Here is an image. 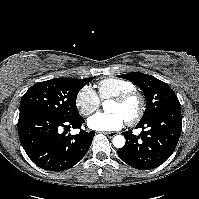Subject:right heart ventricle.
<instances>
[{
    "label": "right heart ventricle",
    "mask_w": 199,
    "mask_h": 199,
    "mask_svg": "<svg viewBox=\"0 0 199 199\" xmlns=\"http://www.w3.org/2000/svg\"><path fill=\"white\" fill-rule=\"evenodd\" d=\"M98 97L100 100H108L117 97L125 92L135 90L136 86L124 79L107 78L98 83Z\"/></svg>",
    "instance_id": "1"
}]
</instances>
